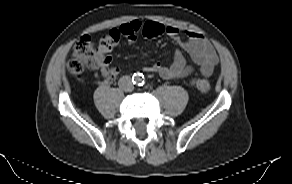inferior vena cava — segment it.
<instances>
[{
  "label": "inferior vena cava",
  "instance_id": "inferior-vena-cava-1",
  "mask_svg": "<svg viewBox=\"0 0 292 184\" xmlns=\"http://www.w3.org/2000/svg\"><path fill=\"white\" fill-rule=\"evenodd\" d=\"M119 87L125 92H131L134 89V85L130 76H123L118 81Z\"/></svg>",
  "mask_w": 292,
  "mask_h": 184
}]
</instances>
